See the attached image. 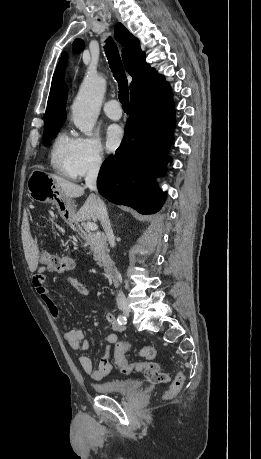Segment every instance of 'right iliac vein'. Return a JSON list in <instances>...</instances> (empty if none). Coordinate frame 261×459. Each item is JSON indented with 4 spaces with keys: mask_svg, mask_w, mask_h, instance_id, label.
<instances>
[{
    "mask_svg": "<svg viewBox=\"0 0 261 459\" xmlns=\"http://www.w3.org/2000/svg\"><path fill=\"white\" fill-rule=\"evenodd\" d=\"M119 308L125 314H129L131 312L129 305L126 302L120 303Z\"/></svg>",
    "mask_w": 261,
    "mask_h": 459,
    "instance_id": "63e3f726",
    "label": "right iliac vein"
}]
</instances>
